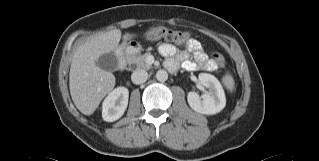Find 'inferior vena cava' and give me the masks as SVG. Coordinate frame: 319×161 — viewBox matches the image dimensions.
Wrapping results in <instances>:
<instances>
[{
	"label": "inferior vena cava",
	"instance_id": "inferior-vena-cava-1",
	"mask_svg": "<svg viewBox=\"0 0 319 161\" xmlns=\"http://www.w3.org/2000/svg\"><path fill=\"white\" fill-rule=\"evenodd\" d=\"M148 73L145 70H135L131 75V80L134 84H142L147 81Z\"/></svg>",
	"mask_w": 319,
	"mask_h": 161
}]
</instances>
